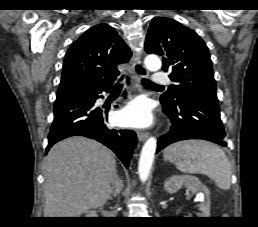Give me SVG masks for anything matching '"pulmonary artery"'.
Wrapping results in <instances>:
<instances>
[{
  "instance_id": "1",
  "label": "pulmonary artery",
  "mask_w": 258,
  "mask_h": 227,
  "mask_svg": "<svg viewBox=\"0 0 258 227\" xmlns=\"http://www.w3.org/2000/svg\"><path fill=\"white\" fill-rule=\"evenodd\" d=\"M153 83L156 85H163L170 83L169 77L164 73H154Z\"/></svg>"
}]
</instances>
